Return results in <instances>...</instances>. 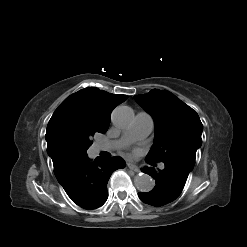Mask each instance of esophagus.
<instances>
[{
    "label": "esophagus",
    "mask_w": 247,
    "mask_h": 247,
    "mask_svg": "<svg viewBox=\"0 0 247 247\" xmlns=\"http://www.w3.org/2000/svg\"><path fill=\"white\" fill-rule=\"evenodd\" d=\"M127 167L135 172H139V168L132 163H127Z\"/></svg>",
    "instance_id": "esophagus-1"
}]
</instances>
